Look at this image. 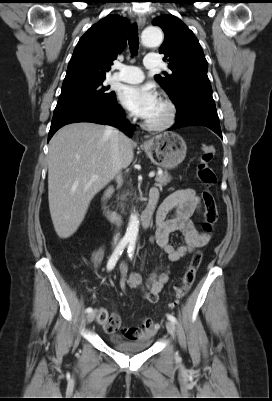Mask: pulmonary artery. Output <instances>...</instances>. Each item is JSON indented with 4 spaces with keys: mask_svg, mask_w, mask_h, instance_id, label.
<instances>
[{
    "mask_svg": "<svg viewBox=\"0 0 272 401\" xmlns=\"http://www.w3.org/2000/svg\"><path fill=\"white\" fill-rule=\"evenodd\" d=\"M158 62V57L156 55H148L144 59V66L148 69L157 68ZM114 68L117 70L112 75V79L115 81L138 83L143 80L144 74L138 67L116 63Z\"/></svg>",
    "mask_w": 272,
    "mask_h": 401,
    "instance_id": "e3ab8cb5",
    "label": "pulmonary artery"
}]
</instances>
